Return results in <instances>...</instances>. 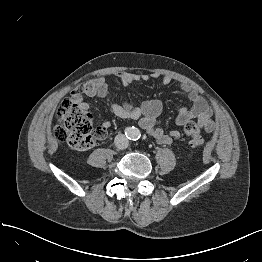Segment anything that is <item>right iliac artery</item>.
Wrapping results in <instances>:
<instances>
[{"instance_id": "1", "label": "right iliac artery", "mask_w": 262, "mask_h": 262, "mask_svg": "<svg viewBox=\"0 0 262 262\" xmlns=\"http://www.w3.org/2000/svg\"><path fill=\"white\" fill-rule=\"evenodd\" d=\"M130 132V128H126L125 134H128Z\"/></svg>"}]
</instances>
